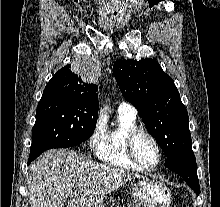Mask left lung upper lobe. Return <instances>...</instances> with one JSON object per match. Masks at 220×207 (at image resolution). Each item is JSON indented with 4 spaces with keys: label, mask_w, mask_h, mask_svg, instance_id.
<instances>
[{
    "label": "left lung upper lobe",
    "mask_w": 220,
    "mask_h": 207,
    "mask_svg": "<svg viewBox=\"0 0 220 207\" xmlns=\"http://www.w3.org/2000/svg\"><path fill=\"white\" fill-rule=\"evenodd\" d=\"M113 73L166 157L192 149L188 112L174 81L156 60H117Z\"/></svg>",
    "instance_id": "obj_1"
}]
</instances>
